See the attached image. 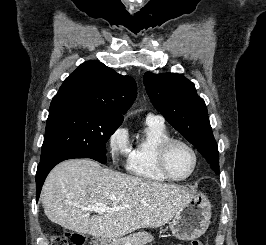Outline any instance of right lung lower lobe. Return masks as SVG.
I'll use <instances>...</instances> for the list:
<instances>
[{"instance_id":"1","label":"right lung lower lobe","mask_w":266,"mask_h":245,"mask_svg":"<svg viewBox=\"0 0 266 245\" xmlns=\"http://www.w3.org/2000/svg\"><path fill=\"white\" fill-rule=\"evenodd\" d=\"M73 158H85V157L74 154H57L40 161L36 173V201H38L39 199L42 185L45 181L46 176L51 171V169L58 163Z\"/></svg>"}]
</instances>
